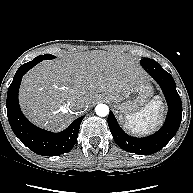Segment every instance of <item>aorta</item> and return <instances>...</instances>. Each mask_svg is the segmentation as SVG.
Returning a JSON list of instances; mask_svg holds the SVG:
<instances>
[{
	"mask_svg": "<svg viewBox=\"0 0 193 193\" xmlns=\"http://www.w3.org/2000/svg\"><path fill=\"white\" fill-rule=\"evenodd\" d=\"M95 112L100 117H105L109 114V107L106 104H98L95 108Z\"/></svg>",
	"mask_w": 193,
	"mask_h": 193,
	"instance_id": "obj_1",
	"label": "aorta"
}]
</instances>
